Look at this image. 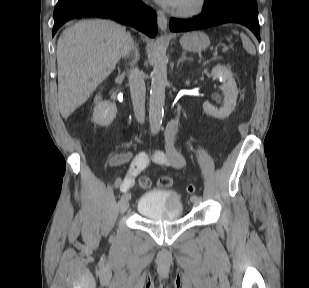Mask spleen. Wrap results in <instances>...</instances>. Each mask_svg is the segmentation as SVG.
Segmentation results:
<instances>
[{"label":"spleen","mask_w":309,"mask_h":288,"mask_svg":"<svg viewBox=\"0 0 309 288\" xmlns=\"http://www.w3.org/2000/svg\"><path fill=\"white\" fill-rule=\"evenodd\" d=\"M240 36L243 42V46L247 50V52L250 53L251 55H255L256 49L254 45L251 43V41L244 34H240Z\"/></svg>","instance_id":"obj_1"}]
</instances>
